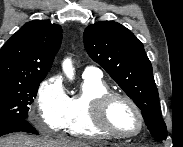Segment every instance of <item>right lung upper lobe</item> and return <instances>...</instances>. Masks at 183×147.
Listing matches in <instances>:
<instances>
[{"instance_id":"1","label":"right lung upper lobe","mask_w":183,"mask_h":147,"mask_svg":"<svg viewBox=\"0 0 183 147\" xmlns=\"http://www.w3.org/2000/svg\"><path fill=\"white\" fill-rule=\"evenodd\" d=\"M62 40V28L48 20L22 26L0 50V83L45 78Z\"/></svg>"}]
</instances>
